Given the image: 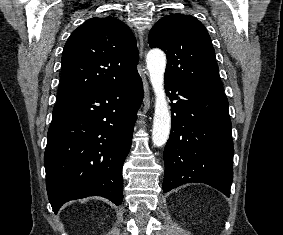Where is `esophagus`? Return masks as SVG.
Listing matches in <instances>:
<instances>
[{
  "instance_id": "obj_1",
  "label": "esophagus",
  "mask_w": 283,
  "mask_h": 235,
  "mask_svg": "<svg viewBox=\"0 0 283 235\" xmlns=\"http://www.w3.org/2000/svg\"><path fill=\"white\" fill-rule=\"evenodd\" d=\"M143 46H144L143 37L140 36V46H139L140 57L143 56Z\"/></svg>"
}]
</instances>
